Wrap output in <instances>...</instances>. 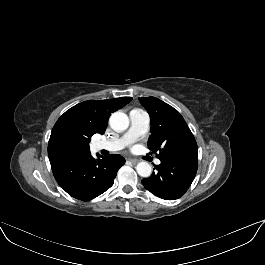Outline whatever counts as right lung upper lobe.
<instances>
[{"label": "right lung upper lobe", "instance_id": "right-lung-upper-lobe-1", "mask_svg": "<svg viewBox=\"0 0 265 265\" xmlns=\"http://www.w3.org/2000/svg\"><path fill=\"white\" fill-rule=\"evenodd\" d=\"M131 100V97L89 100L67 110L55 123L49 139L51 168L90 154L89 145L84 143L96 133L104 134L111 113Z\"/></svg>", "mask_w": 265, "mask_h": 265}]
</instances>
